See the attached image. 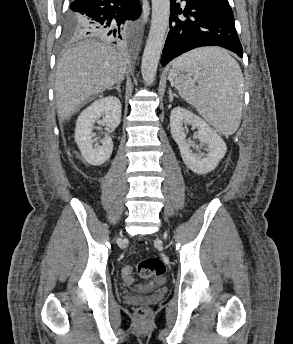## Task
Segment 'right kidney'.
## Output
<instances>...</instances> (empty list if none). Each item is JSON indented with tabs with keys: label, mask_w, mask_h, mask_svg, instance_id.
<instances>
[{
	"label": "right kidney",
	"mask_w": 293,
	"mask_h": 344,
	"mask_svg": "<svg viewBox=\"0 0 293 344\" xmlns=\"http://www.w3.org/2000/svg\"><path fill=\"white\" fill-rule=\"evenodd\" d=\"M103 117L102 122L99 119ZM121 121V102L114 96H108L95 100L89 107L79 115L75 128V141L79 147L84 160L93 165L101 166L111 156L113 141L109 136L101 141L102 145L93 144L94 124L96 122L115 129Z\"/></svg>",
	"instance_id": "right-kidney-1"
}]
</instances>
